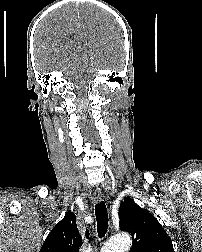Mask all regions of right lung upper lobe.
Segmentation results:
<instances>
[{
  "label": "right lung upper lobe",
  "mask_w": 202,
  "mask_h": 252,
  "mask_svg": "<svg viewBox=\"0 0 202 252\" xmlns=\"http://www.w3.org/2000/svg\"><path fill=\"white\" fill-rule=\"evenodd\" d=\"M87 238L89 232L86 231ZM82 237L78 232L74 213L68 212L47 236L40 252H78Z\"/></svg>",
  "instance_id": "1"
}]
</instances>
